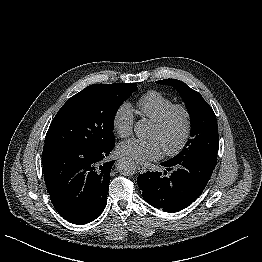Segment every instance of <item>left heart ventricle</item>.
<instances>
[{"label": "left heart ventricle", "mask_w": 262, "mask_h": 262, "mask_svg": "<svg viewBox=\"0 0 262 262\" xmlns=\"http://www.w3.org/2000/svg\"><path fill=\"white\" fill-rule=\"evenodd\" d=\"M185 131V118L181 112H176L169 125L161 130L153 126L150 138L157 139L162 145L163 150H169L178 145Z\"/></svg>", "instance_id": "obj_1"}]
</instances>
